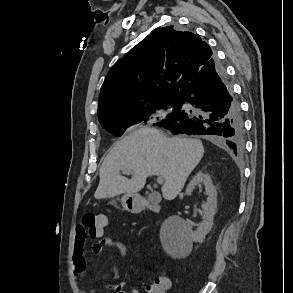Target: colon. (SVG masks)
I'll return each instance as SVG.
<instances>
[{
	"mask_svg": "<svg viewBox=\"0 0 293 293\" xmlns=\"http://www.w3.org/2000/svg\"><path fill=\"white\" fill-rule=\"evenodd\" d=\"M107 225V217L104 214L86 213L82 218V229L86 236L99 238ZM167 280L161 276L148 285L147 293H166Z\"/></svg>",
	"mask_w": 293,
	"mask_h": 293,
	"instance_id": "5ec220e1",
	"label": "colon"
}]
</instances>
